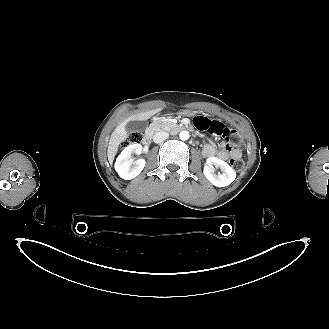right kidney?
<instances>
[{
  "mask_svg": "<svg viewBox=\"0 0 329 329\" xmlns=\"http://www.w3.org/2000/svg\"><path fill=\"white\" fill-rule=\"evenodd\" d=\"M141 151L142 145L135 143L125 147L118 156L115 162V170L121 178L130 180L141 173L146 163L145 160L138 159L132 162L130 159L133 153L140 154Z\"/></svg>",
  "mask_w": 329,
  "mask_h": 329,
  "instance_id": "right-kidney-1",
  "label": "right kidney"
}]
</instances>
